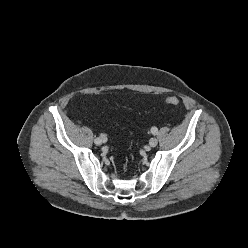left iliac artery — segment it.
I'll return each instance as SVG.
<instances>
[{
	"label": "left iliac artery",
	"instance_id": "1",
	"mask_svg": "<svg viewBox=\"0 0 248 248\" xmlns=\"http://www.w3.org/2000/svg\"><path fill=\"white\" fill-rule=\"evenodd\" d=\"M151 132H152V134L157 135L158 134V129L156 127H152Z\"/></svg>",
	"mask_w": 248,
	"mask_h": 248
}]
</instances>
